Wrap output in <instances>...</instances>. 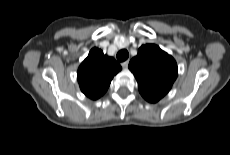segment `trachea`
I'll use <instances>...</instances> for the list:
<instances>
[{"mask_svg": "<svg viewBox=\"0 0 230 155\" xmlns=\"http://www.w3.org/2000/svg\"><path fill=\"white\" fill-rule=\"evenodd\" d=\"M129 57V53L127 50L123 49V50H120L118 53H117V59L118 61L120 62H123L125 60H127Z\"/></svg>", "mask_w": 230, "mask_h": 155, "instance_id": "obj_1", "label": "trachea"}]
</instances>
